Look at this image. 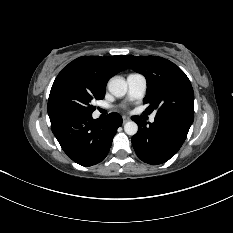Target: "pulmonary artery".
I'll return each instance as SVG.
<instances>
[{
    "instance_id": "pulmonary-artery-1",
    "label": "pulmonary artery",
    "mask_w": 233,
    "mask_h": 233,
    "mask_svg": "<svg viewBox=\"0 0 233 233\" xmlns=\"http://www.w3.org/2000/svg\"><path fill=\"white\" fill-rule=\"evenodd\" d=\"M128 97L130 99L142 98L146 92L147 82L146 78L137 73L129 74L127 77ZM155 114L151 115L150 122H154Z\"/></svg>"
}]
</instances>
